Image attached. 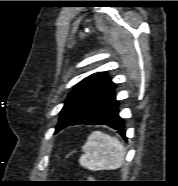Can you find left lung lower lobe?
<instances>
[{
    "label": "left lung lower lobe",
    "mask_w": 178,
    "mask_h": 186,
    "mask_svg": "<svg viewBox=\"0 0 178 186\" xmlns=\"http://www.w3.org/2000/svg\"><path fill=\"white\" fill-rule=\"evenodd\" d=\"M79 124L107 125L117 130L126 139L125 125L119 116V102L116 100L115 94L81 113L66 126Z\"/></svg>",
    "instance_id": "left-lung-lower-lobe-1"
}]
</instances>
